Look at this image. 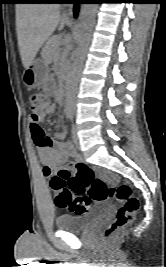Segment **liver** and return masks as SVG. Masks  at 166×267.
I'll return each instance as SVG.
<instances>
[{
	"instance_id": "obj_1",
	"label": "liver",
	"mask_w": 166,
	"mask_h": 267,
	"mask_svg": "<svg viewBox=\"0 0 166 267\" xmlns=\"http://www.w3.org/2000/svg\"><path fill=\"white\" fill-rule=\"evenodd\" d=\"M67 19L60 16V5L18 3L16 5V31L19 52L24 68H28L39 49Z\"/></svg>"
}]
</instances>
